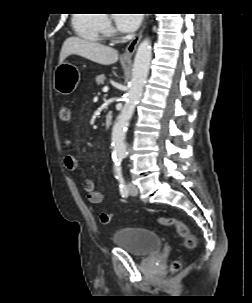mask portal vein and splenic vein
I'll use <instances>...</instances> for the list:
<instances>
[{
    "label": "portal vein and splenic vein",
    "instance_id": "18ae733b",
    "mask_svg": "<svg viewBox=\"0 0 252 303\" xmlns=\"http://www.w3.org/2000/svg\"><path fill=\"white\" fill-rule=\"evenodd\" d=\"M108 90H109L108 86H104L102 89L103 92H107Z\"/></svg>",
    "mask_w": 252,
    "mask_h": 303
}]
</instances>
